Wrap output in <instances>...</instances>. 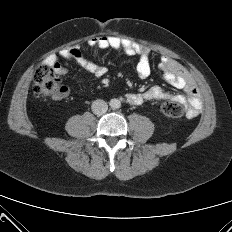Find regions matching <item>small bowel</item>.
Masks as SVG:
<instances>
[{
	"mask_svg": "<svg viewBox=\"0 0 232 232\" xmlns=\"http://www.w3.org/2000/svg\"><path fill=\"white\" fill-rule=\"evenodd\" d=\"M89 44L102 50L121 51L132 56H137V75L142 79L150 76L151 51L148 47L118 36L107 35L92 38L89 40ZM60 57L65 60L74 59L81 68L94 77L101 78L107 74V68L105 66L81 55L75 48H68L61 51ZM48 61L53 65L57 74L68 76L69 70L57 60L56 56H50ZM158 68L162 72L165 81L175 88L184 90L186 96L172 94L160 86H153L141 93L127 94V103L136 106L148 100H173L186 107L188 117L198 116L201 111L202 101L193 76L183 65L167 55L160 56ZM69 94L70 88L62 85L61 92L53 98L55 100H62Z\"/></svg>",
	"mask_w": 232,
	"mask_h": 232,
	"instance_id": "1",
	"label": "small bowel"
}]
</instances>
